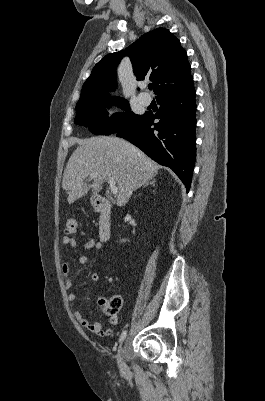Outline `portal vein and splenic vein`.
<instances>
[{"instance_id": "18ae733b", "label": "portal vein and splenic vein", "mask_w": 265, "mask_h": 401, "mask_svg": "<svg viewBox=\"0 0 265 401\" xmlns=\"http://www.w3.org/2000/svg\"><path fill=\"white\" fill-rule=\"evenodd\" d=\"M98 172H92V174H90V176H97ZM108 182H110V190L112 192V194H117L118 192V188L117 186H115V178H113V176H109V180Z\"/></svg>"}]
</instances>
